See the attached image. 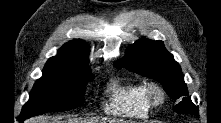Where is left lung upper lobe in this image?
Instances as JSON below:
<instances>
[{"instance_id": "1", "label": "left lung upper lobe", "mask_w": 221, "mask_h": 123, "mask_svg": "<svg viewBox=\"0 0 221 123\" xmlns=\"http://www.w3.org/2000/svg\"><path fill=\"white\" fill-rule=\"evenodd\" d=\"M120 69L152 78L163 85L166 93L180 101L173 110L177 113L197 115L198 111L188 96L181 67L160 40L140 39L127 49L124 60L115 63ZM188 96V97H187Z\"/></svg>"}]
</instances>
